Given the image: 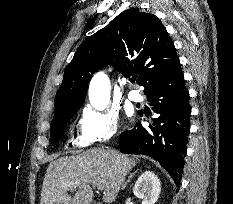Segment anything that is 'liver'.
<instances>
[{
    "label": "liver",
    "mask_w": 233,
    "mask_h": 204,
    "mask_svg": "<svg viewBox=\"0 0 233 204\" xmlns=\"http://www.w3.org/2000/svg\"><path fill=\"white\" fill-rule=\"evenodd\" d=\"M136 161L113 149L94 148L82 154L60 157L46 171L41 204H91V185H102L103 201L110 204ZM75 191L71 197L67 191Z\"/></svg>",
    "instance_id": "1"
}]
</instances>
